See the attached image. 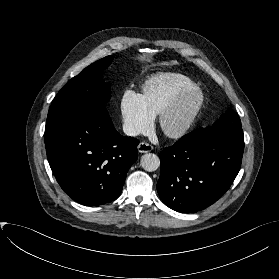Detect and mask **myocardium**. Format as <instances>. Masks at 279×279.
<instances>
[{
	"label": "myocardium",
	"instance_id": "1",
	"mask_svg": "<svg viewBox=\"0 0 279 279\" xmlns=\"http://www.w3.org/2000/svg\"><path fill=\"white\" fill-rule=\"evenodd\" d=\"M191 99H194V103L184 122L176 128H169L167 126L169 119L172 118ZM204 103L205 95L201 88L196 87L184 92L159 114V129L170 139H180L186 136L196 123Z\"/></svg>",
	"mask_w": 279,
	"mask_h": 279
}]
</instances>
